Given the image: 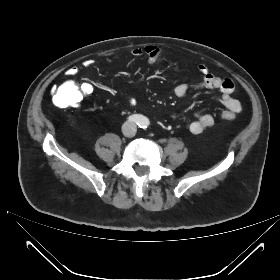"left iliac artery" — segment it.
<instances>
[{"mask_svg":"<svg viewBox=\"0 0 280 280\" xmlns=\"http://www.w3.org/2000/svg\"><path fill=\"white\" fill-rule=\"evenodd\" d=\"M147 125H148V121H147V120H143V121L140 123L139 126H140L141 128H146Z\"/></svg>","mask_w":280,"mask_h":280,"instance_id":"44dca946","label":"left iliac artery"}]
</instances>
